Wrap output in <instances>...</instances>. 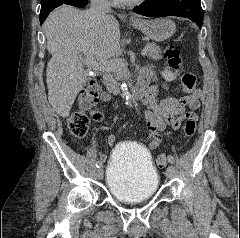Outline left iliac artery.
Wrapping results in <instances>:
<instances>
[{"label":"left iliac artery","mask_w":240,"mask_h":238,"mask_svg":"<svg viewBox=\"0 0 240 238\" xmlns=\"http://www.w3.org/2000/svg\"><path fill=\"white\" fill-rule=\"evenodd\" d=\"M168 161H169L171 164H173V163L175 162V159H174L173 156L169 155V156H168Z\"/></svg>","instance_id":"1"}]
</instances>
